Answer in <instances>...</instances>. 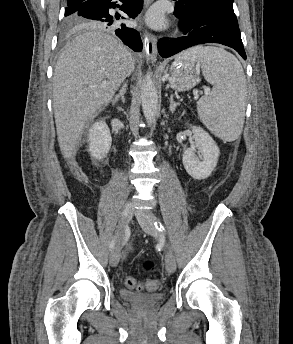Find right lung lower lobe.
<instances>
[{
    "label": "right lung lower lobe",
    "instance_id": "obj_1",
    "mask_svg": "<svg viewBox=\"0 0 293 344\" xmlns=\"http://www.w3.org/2000/svg\"><path fill=\"white\" fill-rule=\"evenodd\" d=\"M123 3L120 9L129 17H136L142 9L143 0H119ZM119 7L115 0H85L79 3L77 14L89 21L96 23L97 27L106 28L115 33L124 44L136 52L142 50V41L139 32L128 28L125 24L117 22L120 17L112 15L110 8Z\"/></svg>",
    "mask_w": 293,
    "mask_h": 344
}]
</instances>
